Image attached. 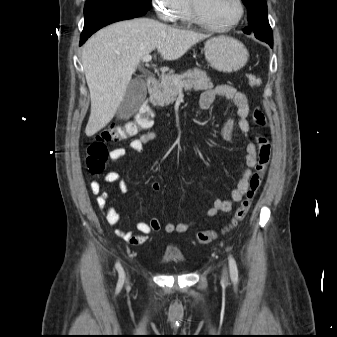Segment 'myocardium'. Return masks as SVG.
Segmentation results:
<instances>
[{
  "instance_id": "1",
  "label": "myocardium",
  "mask_w": 337,
  "mask_h": 337,
  "mask_svg": "<svg viewBox=\"0 0 337 337\" xmlns=\"http://www.w3.org/2000/svg\"><path fill=\"white\" fill-rule=\"evenodd\" d=\"M236 3L238 5V14L236 18L227 24H215V23L208 21L206 18L203 17V15L201 14L197 6L196 0H188L189 10H190L193 22L209 30H213V31L230 30L236 27L242 21L244 14H245V5H244L243 0H236Z\"/></svg>"
}]
</instances>
